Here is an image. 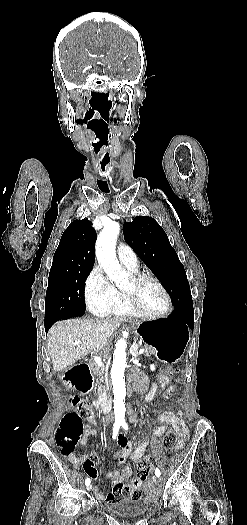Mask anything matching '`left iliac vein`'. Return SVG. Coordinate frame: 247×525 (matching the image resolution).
<instances>
[{
	"mask_svg": "<svg viewBox=\"0 0 247 525\" xmlns=\"http://www.w3.org/2000/svg\"><path fill=\"white\" fill-rule=\"evenodd\" d=\"M156 480H157L156 477H155V476H152V481H153V482H156Z\"/></svg>",
	"mask_w": 247,
	"mask_h": 525,
	"instance_id": "1",
	"label": "left iliac vein"
}]
</instances>
